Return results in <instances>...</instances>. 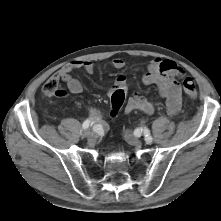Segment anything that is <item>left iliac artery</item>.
<instances>
[{"label": "left iliac artery", "mask_w": 221, "mask_h": 221, "mask_svg": "<svg viewBox=\"0 0 221 221\" xmlns=\"http://www.w3.org/2000/svg\"><path fill=\"white\" fill-rule=\"evenodd\" d=\"M141 132H143V134H144V137H145V141L147 142V143H149L151 140H152V137H151V135H150V131H149V129L148 128H143V129H136L135 130V135L136 136H140L141 135Z\"/></svg>", "instance_id": "1"}]
</instances>
